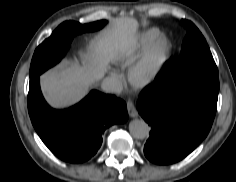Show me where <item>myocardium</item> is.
I'll use <instances>...</instances> for the list:
<instances>
[{
  "label": "myocardium",
  "mask_w": 236,
  "mask_h": 182,
  "mask_svg": "<svg viewBox=\"0 0 236 182\" xmlns=\"http://www.w3.org/2000/svg\"><path fill=\"white\" fill-rule=\"evenodd\" d=\"M162 42L165 43V48L161 54H158V46ZM171 49V42L165 35L157 36L148 49L130 67L128 71L129 82L136 88L151 85L168 63Z\"/></svg>",
  "instance_id": "1"
}]
</instances>
